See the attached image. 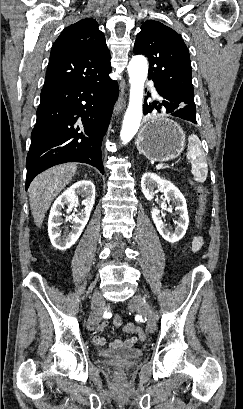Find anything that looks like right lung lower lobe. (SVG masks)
Here are the masks:
<instances>
[{
  "label": "right lung lower lobe",
  "instance_id": "1",
  "mask_svg": "<svg viewBox=\"0 0 243 409\" xmlns=\"http://www.w3.org/2000/svg\"><path fill=\"white\" fill-rule=\"evenodd\" d=\"M109 72L96 80L42 89L26 189L37 174L60 163H87L104 173L101 143L118 96Z\"/></svg>",
  "mask_w": 243,
  "mask_h": 409
}]
</instances>
